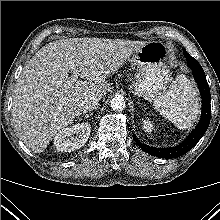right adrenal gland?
<instances>
[{
  "label": "right adrenal gland",
  "instance_id": "obj_1",
  "mask_svg": "<svg viewBox=\"0 0 220 220\" xmlns=\"http://www.w3.org/2000/svg\"><path fill=\"white\" fill-rule=\"evenodd\" d=\"M92 115H93L92 113H90V114H83L82 117L84 116V118L87 119V118L91 117Z\"/></svg>",
  "mask_w": 220,
  "mask_h": 220
}]
</instances>
